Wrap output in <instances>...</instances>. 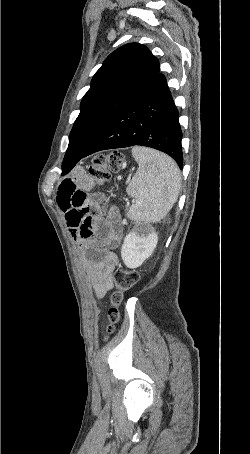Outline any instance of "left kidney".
I'll list each match as a JSON object with an SVG mask.
<instances>
[{"label":"left kidney","instance_id":"obj_1","mask_svg":"<svg viewBox=\"0 0 250 454\" xmlns=\"http://www.w3.org/2000/svg\"><path fill=\"white\" fill-rule=\"evenodd\" d=\"M158 242L156 232H146L142 229L132 231L126 235L122 248L121 257L128 268H137L149 258Z\"/></svg>","mask_w":250,"mask_h":454}]
</instances>
